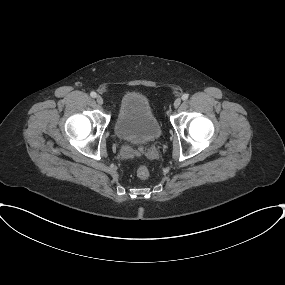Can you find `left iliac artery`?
Returning <instances> with one entry per match:
<instances>
[{"label":"left iliac artery","instance_id":"left-iliac-artery-1","mask_svg":"<svg viewBox=\"0 0 285 285\" xmlns=\"http://www.w3.org/2000/svg\"><path fill=\"white\" fill-rule=\"evenodd\" d=\"M188 97H189L188 94H183L181 98H182V100H187Z\"/></svg>","mask_w":285,"mask_h":285}]
</instances>
